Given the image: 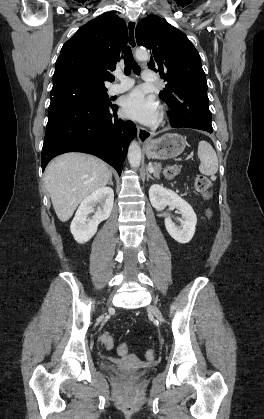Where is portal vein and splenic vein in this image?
Masks as SVG:
<instances>
[{
    "instance_id": "18ae733b",
    "label": "portal vein and splenic vein",
    "mask_w": 264,
    "mask_h": 419,
    "mask_svg": "<svg viewBox=\"0 0 264 419\" xmlns=\"http://www.w3.org/2000/svg\"><path fill=\"white\" fill-rule=\"evenodd\" d=\"M188 158H190V157H188ZM149 171H150V172H153V171H154V169H153L152 167H150V168H149Z\"/></svg>"
}]
</instances>
